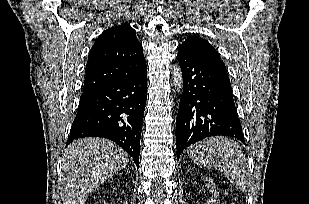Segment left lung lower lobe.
Returning a JSON list of instances; mask_svg holds the SVG:
<instances>
[{"label": "left lung lower lobe", "instance_id": "obj_1", "mask_svg": "<svg viewBox=\"0 0 309 204\" xmlns=\"http://www.w3.org/2000/svg\"><path fill=\"white\" fill-rule=\"evenodd\" d=\"M183 93L176 118L177 156L206 137L230 136L244 141L226 69L179 48Z\"/></svg>", "mask_w": 309, "mask_h": 204}]
</instances>
